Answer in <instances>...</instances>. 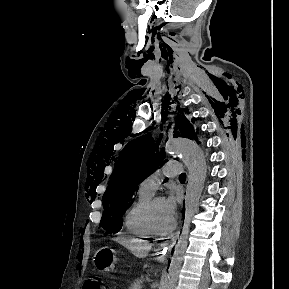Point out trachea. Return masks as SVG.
Returning a JSON list of instances; mask_svg holds the SVG:
<instances>
[{"label": "trachea", "instance_id": "trachea-1", "mask_svg": "<svg viewBox=\"0 0 289 289\" xmlns=\"http://www.w3.org/2000/svg\"><path fill=\"white\" fill-rule=\"evenodd\" d=\"M179 178H180V179H185V178H186V174H185V173H182Z\"/></svg>", "mask_w": 289, "mask_h": 289}]
</instances>
